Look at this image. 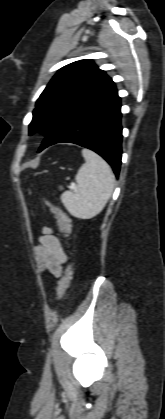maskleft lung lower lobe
<instances>
[{"label":"left lung lower lobe","instance_id":"0a47b994","mask_svg":"<svg viewBox=\"0 0 165 419\" xmlns=\"http://www.w3.org/2000/svg\"><path fill=\"white\" fill-rule=\"evenodd\" d=\"M121 104L112 83L75 107L43 140L38 152L62 142L78 144L101 155L118 177L121 165Z\"/></svg>","mask_w":165,"mask_h":419}]
</instances>
